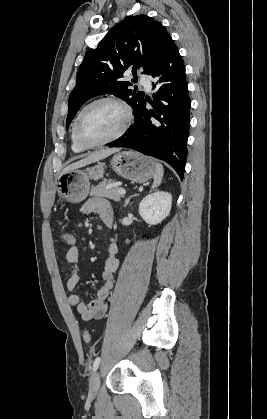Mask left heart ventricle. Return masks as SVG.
Segmentation results:
<instances>
[{
	"label": "left heart ventricle",
	"mask_w": 267,
	"mask_h": 419,
	"mask_svg": "<svg viewBox=\"0 0 267 419\" xmlns=\"http://www.w3.org/2000/svg\"><path fill=\"white\" fill-rule=\"evenodd\" d=\"M123 120L124 115L119 106L110 102L95 104L81 118L80 137L86 143H97L113 135Z\"/></svg>",
	"instance_id": "obj_1"
}]
</instances>
